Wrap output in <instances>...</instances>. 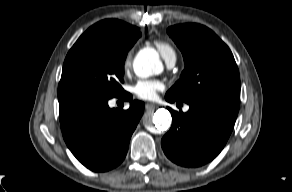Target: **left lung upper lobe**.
I'll return each mask as SVG.
<instances>
[{
	"label": "left lung upper lobe",
	"instance_id": "1",
	"mask_svg": "<svg viewBox=\"0 0 292 192\" xmlns=\"http://www.w3.org/2000/svg\"><path fill=\"white\" fill-rule=\"evenodd\" d=\"M169 36L182 51L185 68L166 93L186 103L199 100L240 102V77L228 46L209 28L200 24L169 27Z\"/></svg>",
	"mask_w": 292,
	"mask_h": 192
}]
</instances>
